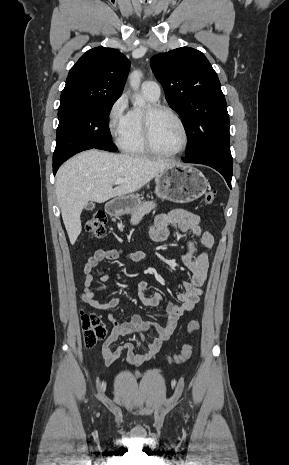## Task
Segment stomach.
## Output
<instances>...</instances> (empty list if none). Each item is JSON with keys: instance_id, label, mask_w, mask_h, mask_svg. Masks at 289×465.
<instances>
[{"instance_id": "obj_1", "label": "stomach", "mask_w": 289, "mask_h": 465, "mask_svg": "<svg viewBox=\"0 0 289 465\" xmlns=\"http://www.w3.org/2000/svg\"><path fill=\"white\" fill-rule=\"evenodd\" d=\"M155 193L162 200L188 203L200 198L207 190L208 181L197 169L183 164H173L155 178ZM141 205L138 195L118 197L108 203L110 214L131 213Z\"/></svg>"}]
</instances>
